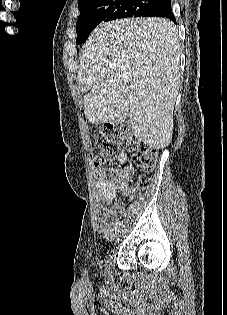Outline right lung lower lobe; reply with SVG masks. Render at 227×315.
Masks as SVG:
<instances>
[{"label":"right lung lower lobe","instance_id":"obj_1","mask_svg":"<svg viewBox=\"0 0 227 315\" xmlns=\"http://www.w3.org/2000/svg\"><path fill=\"white\" fill-rule=\"evenodd\" d=\"M147 16L166 17L175 22L170 0H158L154 5L145 10L141 17Z\"/></svg>","mask_w":227,"mask_h":315}]
</instances>
